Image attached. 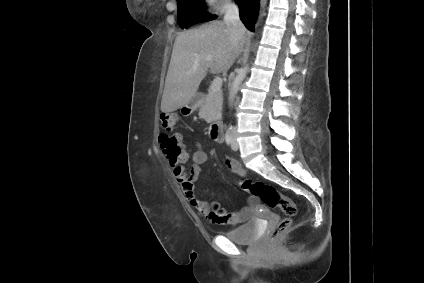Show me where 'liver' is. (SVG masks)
<instances>
[{
	"mask_svg": "<svg viewBox=\"0 0 424 283\" xmlns=\"http://www.w3.org/2000/svg\"><path fill=\"white\" fill-rule=\"evenodd\" d=\"M245 33L246 29L236 46L223 21L179 33L172 50L161 111L170 113L189 104L208 69L210 73L229 70L243 49Z\"/></svg>",
	"mask_w": 424,
	"mask_h": 283,
	"instance_id": "liver-1",
	"label": "liver"
}]
</instances>
